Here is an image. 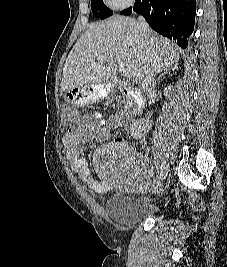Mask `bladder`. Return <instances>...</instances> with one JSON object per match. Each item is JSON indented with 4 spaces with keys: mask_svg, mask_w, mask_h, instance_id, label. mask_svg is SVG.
<instances>
[{
    "mask_svg": "<svg viewBox=\"0 0 227 267\" xmlns=\"http://www.w3.org/2000/svg\"><path fill=\"white\" fill-rule=\"evenodd\" d=\"M106 211L111 220L121 226H133L136 223L160 215L156 206H143L133 195L114 190L106 200Z\"/></svg>",
    "mask_w": 227,
    "mask_h": 267,
    "instance_id": "bladder-1",
    "label": "bladder"
}]
</instances>
